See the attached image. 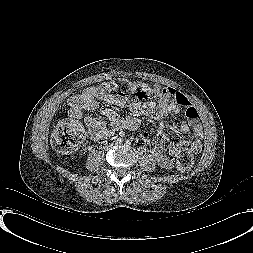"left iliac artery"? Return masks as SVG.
Segmentation results:
<instances>
[{
	"instance_id": "left-iliac-artery-1",
	"label": "left iliac artery",
	"mask_w": 253,
	"mask_h": 253,
	"mask_svg": "<svg viewBox=\"0 0 253 253\" xmlns=\"http://www.w3.org/2000/svg\"><path fill=\"white\" fill-rule=\"evenodd\" d=\"M126 144L130 145V144H131V141H130V140H127V141H126Z\"/></svg>"
}]
</instances>
